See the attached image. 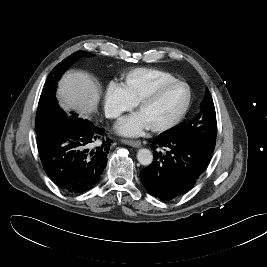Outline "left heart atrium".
<instances>
[{"label": "left heart atrium", "mask_w": 267, "mask_h": 267, "mask_svg": "<svg viewBox=\"0 0 267 267\" xmlns=\"http://www.w3.org/2000/svg\"><path fill=\"white\" fill-rule=\"evenodd\" d=\"M147 128L148 124L139 113L122 118L116 125L117 131L127 136L139 135Z\"/></svg>", "instance_id": "obj_1"}]
</instances>
